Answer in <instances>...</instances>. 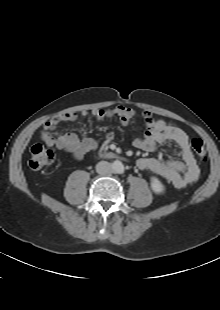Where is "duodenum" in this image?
Instances as JSON below:
<instances>
[{
    "label": "duodenum",
    "mask_w": 220,
    "mask_h": 310,
    "mask_svg": "<svg viewBox=\"0 0 220 310\" xmlns=\"http://www.w3.org/2000/svg\"><path fill=\"white\" fill-rule=\"evenodd\" d=\"M106 156L110 159H114L116 157V155L114 153H106Z\"/></svg>",
    "instance_id": "1"
}]
</instances>
